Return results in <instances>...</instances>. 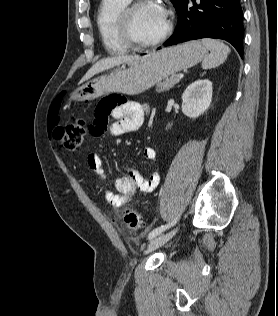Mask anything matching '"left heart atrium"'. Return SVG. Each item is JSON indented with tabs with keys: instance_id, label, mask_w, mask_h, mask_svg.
Returning a JSON list of instances; mask_svg holds the SVG:
<instances>
[{
	"instance_id": "1",
	"label": "left heart atrium",
	"mask_w": 278,
	"mask_h": 316,
	"mask_svg": "<svg viewBox=\"0 0 278 316\" xmlns=\"http://www.w3.org/2000/svg\"><path fill=\"white\" fill-rule=\"evenodd\" d=\"M153 8L156 10V12L163 18H166V11L165 9L163 8V6L158 3V2H155V3H151Z\"/></svg>"
}]
</instances>
